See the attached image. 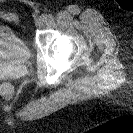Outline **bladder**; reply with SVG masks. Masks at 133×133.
Here are the masks:
<instances>
[{"label":"bladder","instance_id":"bladder-1","mask_svg":"<svg viewBox=\"0 0 133 133\" xmlns=\"http://www.w3.org/2000/svg\"><path fill=\"white\" fill-rule=\"evenodd\" d=\"M31 51L25 41L12 28L0 25V63L25 64Z\"/></svg>","mask_w":133,"mask_h":133}]
</instances>
